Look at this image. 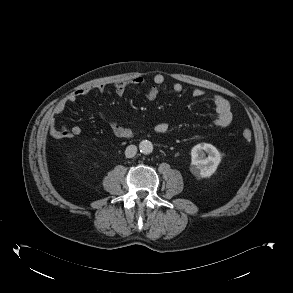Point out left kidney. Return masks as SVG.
I'll return each instance as SVG.
<instances>
[{"label":"left kidney","mask_w":293,"mask_h":293,"mask_svg":"<svg viewBox=\"0 0 293 293\" xmlns=\"http://www.w3.org/2000/svg\"><path fill=\"white\" fill-rule=\"evenodd\" d=\"M205 153L208 157H204ZM221 162V154L211 144L201 143L191 150V172L196 177H210L213 175Z\"/></svg>","instance_id":"1"}]
</instances>
